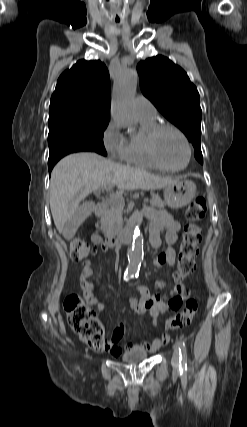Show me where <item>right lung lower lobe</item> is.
Returning a JSON list of instances; mask_svg holds the SVG:
<instances>
[{"label":"right lung lower lobe","instance_id":"obj_1","mask_svg":"<svg viewBox=\"0 0 247 427\" xmlns=\"http://www.w3.org/2000/svg\"><path fill=\"white\" fill-rule=\"evenodd\" d=\"M79 151H91L88 148L77 145V144H62L57 145L52 148H50L49 151V160H48V169L49 173L51 174V170L53 169L54 165L65 155L79 152Z\"/></svg>","mask_w":247,"mask_h":427}]
</instances>
